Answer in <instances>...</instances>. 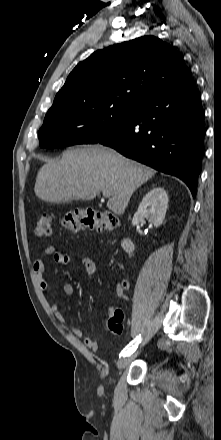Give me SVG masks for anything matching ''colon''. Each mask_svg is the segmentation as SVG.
Instances as JSON below:
<instances>
[{
  "mask_svg": "<svg viewBox=\"0 0 221 440\" xmlns=\"http://www.w3.org/2000/svg\"><path fill=\"white\" fill-rule=\"evenodd\" d=\"M53 219L48 214L41 215L35 225V233L40 238H47L52 232ZM62 226L70 232L81 230L111 231L118 225V218L113 213L96 212L92 209L76 208L66 211L61 218ZM123 313L116 308L108 314L107 327L113 335L122 331Z\"/></svg>",
  "mask_w": 221,
  "mask_h": 440,
  "instance_id": "1",
  "label": "colon"
}]
</instances>
